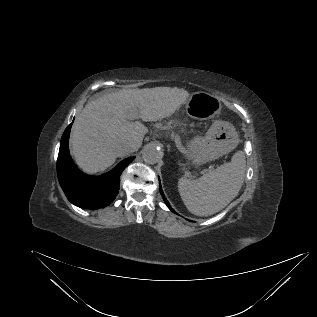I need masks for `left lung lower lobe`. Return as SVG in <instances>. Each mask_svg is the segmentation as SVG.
I'll use <instances>...</instances> for the list:
<instances>
[{"instance_id": "0a47b994", "label": "left lung lower lobe", "mask_w": 317, "mask_h": 317, "mask_svg": "<svg viewBox=\"0 0 317 317\" xmlns=\"http://www.w3.org/2000/svg\"><path fill=\"white\" fill-rule=\"evenodd\" d=\"M159 182H160V181H159ZM160 192H161V194H162V197H163V200H164L165 204L169 207V209H170L172 212H174V210L170 207V204H169V202L167 201V199H166V197H165V195H164V193H163V191H162L161 184H160Z\"/></svg>"}]
</instances>
